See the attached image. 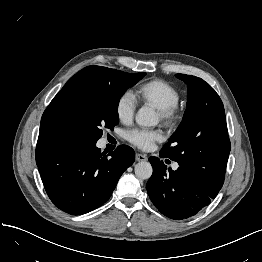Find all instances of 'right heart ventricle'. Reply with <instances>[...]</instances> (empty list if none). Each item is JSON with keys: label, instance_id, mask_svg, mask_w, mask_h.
Here are the masks:
<instances>
[{"label": "right heart ventricle", "instance_id": "right-heart-ventricle-1", "mask_svg": "<svg viewBox=\"0 0 262 262\" xmlns=\"http://www.w3.org/2000/svg\"><path fill=\"white\" fill-rule=\"evenodd\" d=\"M134 98L155 108L164 109L177 104L179 93L177 89L162 79H153L141 84L134 93Z\"/></svg>", "mask_w": 262, "mask_h": 262}]
</instances>
